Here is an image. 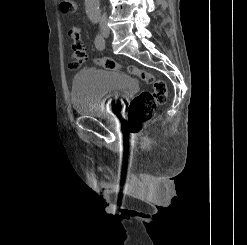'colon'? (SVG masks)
<instances>
[{"label":"colon","instance_id":"obj_1","mask_svg":"<svg viewBox=\"0 0 247 245\" xmlns=\"http://www.w3.org/2000/svg\"><path fill=\"white\" fill-rule=\"evenodd\" d=\"M76 4L73 0H63L61 10L65 13H73ZM70 37L73 40L74 55L69 63L71 69H79L87 60L86 49L83 45L81 35L75 30H70ZM95 63L110 70H126L128 73L139 77L142 81L152 86V90L142 91L130 102L128 109V122L132 131L138 132L141 127L150 121L155 114L156 107L165 103L167 99L166 83L157 78L151 72L140 69L136 66H124L110 58H98Z\"/></svg>","mask_w":247,"mask_h":245}]
</instances>
